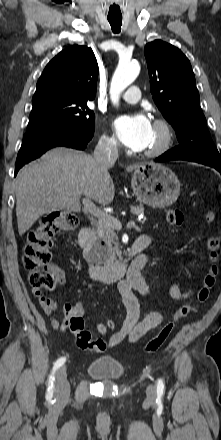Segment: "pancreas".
<instances>
[{"instance_id": "1", "label": "pancreas", "mask_w": 221, "mask_h": 440, "mask_svg": "<svg viewBox=\"0 0 221 440\" xmlns=\"http://www.w3.org/2000/svg\"><path fill=\"white\" fill-rule=\"evenodd\" d=\"M131 212L134 215H143L144 207L143 205L131 206ZM92 235L94 238H98L103 241L108 247L109 259L114 260L116 258V253L118 252L117 236L114 228L104 221H95L92 223ZM92 251L97 249V246L91 247Z\"/></svg>"}]
</instances>
